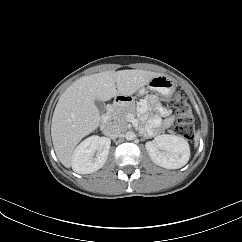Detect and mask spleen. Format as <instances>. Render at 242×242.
<instances>
[{
	"mask_svg": "<svg viewBox=\"0 0 242 242\" xmlns=\"http://www.w3.org/2000/svg\"><path fill=\"white\" fill-rule=\"evenodd\" d=\"M198 137H199V133L196 134V138H195V146H197V141H198Z\"/></svg>",
	"mask_w": 242,
	"mask_h": 242,
	"instance_id": "spleen-1",
	"label": "spleen"
}]
</instances>
